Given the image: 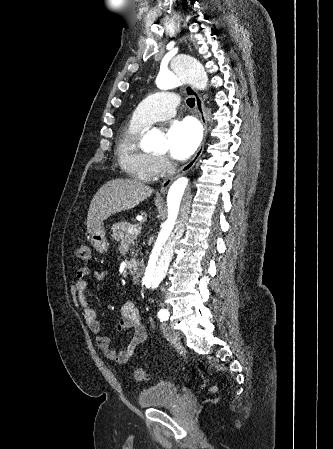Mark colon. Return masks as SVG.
Here are the masks:
<instances>
[{
    "mask_svg": "<svg viewBox=\"0 0 333 449\" xmlns=\"http://www.w3.org/2000/svg\"><path fill=\"white\" fill-rule=\"evenodd\" d=\"M76 256L82 261H88L91 257L90 246L88 244H81L76 250ZM133 376L137 381H142L146 378L145 371L142 368H136L133 371ZM211 390L214 391L215 387L213 386Z\"/></svg>",
    "mask_w": 333,
    "mask_h": 449,
    "instance_id": "obj_1",
    "label": "colon"
}]
</instances>
